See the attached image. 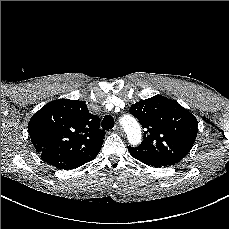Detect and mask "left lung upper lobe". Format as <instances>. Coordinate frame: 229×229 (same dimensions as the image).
<instances>
[{
  "instance_id": "1",
  "label": "left lung upper lobe",
  "mask_w": 229,
  "mask_h": 229,
  "mask_svg": "<svg viewBox=\"0 0 229 229\" xmlns=\"http://www.w3.org/2000/svg\"><path fill=\"white\" fill-rule=\"evenodd\" d=\"M130 113L145 129L142 143L128 147L137 160L176 164L192 148L198 122L178 102L157 95L132 104Z\"/></svg>"
}]
</instances>
